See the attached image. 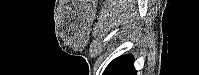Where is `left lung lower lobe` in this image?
Wrapping results in <instances>:
<instances>
[{
    "mask_svg": "<svg viewBox=\"0 0 199 75\" xmlns=\"http://www.w3.org/2000/svg\"><path fill=\"white\" fill-rule=\"evenodd\" d=\"M134 57L130 54L114 59L106 67L103 75H136L137 71L134 66Z\"/></svg>",
    "mask_w": 199,
    "mask_h": 75,
    "instance_id": "1",
    "label": "left lung lower lobe"
}]
</instances>
